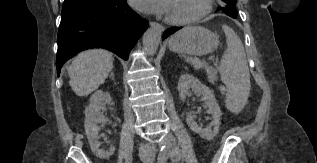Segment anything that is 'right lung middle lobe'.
I'll return each instance as SVG.
<instances>
[{
  "instance_id": "1",
  "label": "right lung middle lobe",
  "mask_w": 317,
  "mask_h": 163,
  "mask_svg": "<svg viewBox=\"0 0 317 163\" xmlns=\"http://www.w3.org/2000/svg\"><path fill=\"white\" fill-rule=\"evenodd\" d=\"M114 0H67L63 3L62 15L77 12L91 6L106 4Z\"/></svg>"
}]
</instances>
